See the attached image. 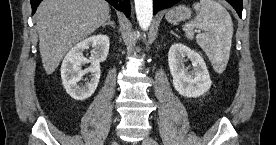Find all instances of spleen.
I'll return each mask as SVG.
<instances>
[{
  "instance_id": "spleen-1",
  "label": "spleen",
  "mask_w": 276,
  "mask_h": 145,
  "mask_svg": "<svg viewBox=\"0 0 276 145\" xmlns=\"http://www.w3.org/2000/svg\"><path fill=\"white\" fill-rule=\"evenodd\" d=\"M196 17L183 26L187 39H193V29L204 31L196 35L198 45L206 53L218 74L227 66L232 36L233 23L228 11L217 1L200 0L194 4Z\"/></svg>"
}]
</instances>
